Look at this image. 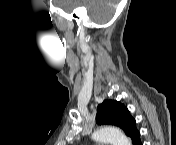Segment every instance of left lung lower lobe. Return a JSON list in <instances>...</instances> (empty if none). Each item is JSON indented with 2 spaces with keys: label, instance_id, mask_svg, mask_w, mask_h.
<instances>
[{
  "label": "left lung lower lobe",
  "instance_id": "left-lung-lower-lobe-1",
  "mask_svg": "<svg viewBox=\"0 0 176 145\" xmlns=\"http://www.w3.org/2000/svg\"><path fill=\"white\" fill-rule=\"evenodd\" d=\"M133 145H142L141 140H140V134H138L134 140L132 141Z\"/></svg>",
  "mask_w": 176,
  "mask_h": 145
}]
</instances>
